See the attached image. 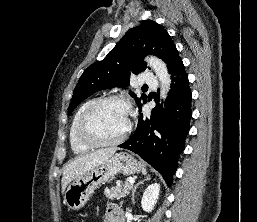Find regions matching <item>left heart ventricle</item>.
Segmentation results:
<instances>
[{
    "label": "left heart ventricle",
    "instance_id": "obj_1",
    "mask_svg": "<svg viewBox=\"0 0 257 222\" xmlns=\"http://www.w3.org/2000/svg\"><path fill=\"white\" fill-rule=\"evenodd\" d=\"M129 119V111L123 104L110 102L92 114L87 129L96 139L111 141L118 138L126 130Z\"/></svg>",
    "mask_w": 257,
    "mask_h": 222
}]
</instances>
